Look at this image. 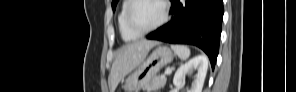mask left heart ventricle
<instances>
[{"mask_svg": "<svg viewBox=\"0 0 296 92\" xmlns=\"http://www.w3.org/2000/svg\"><path fill=\"white\" fill-rule=\"evenodd\" d=\"M162 15V7L157 1H141L133 12L132 20L134 25L139 29H148L156 24Z\"/></svg>", "mask_w": 296, "mask_h": 92, "instance_id": "1", "label": "left heart ventricle"}]
</instances>
